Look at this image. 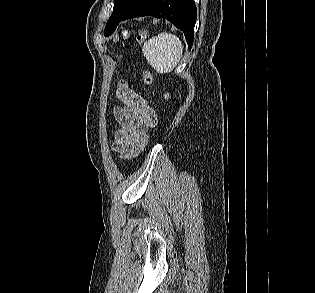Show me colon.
I'll list each match as a JSON object with an SVG mask.
<instances>
[{
    "mask_svg": "<svg viewBox=\"0 0 315 293\" xmlns=\"http://www.w3.org/2000/svg\"><path fill=\"white\" fill-rule=\"evenodd\" d=\"M124 35L126 37L130 35L136 36L139 43H146L147 41L146 33L142 30L131 31L127 29L124 31ZM142 77H143V82L146 86H150L152 84L153 76L148 69H144ZM117 83L118 85H121L115 90L118 94H129L131 92V89H132L131 86L129 84L127 85V83H131V80H127V78H118ZM147 140H148V136H146L144 140L140 143L136 154L141 152V150L145 147Z\"/></svg>",
    "mask_w": 315,
    "mask_h": 293,
    "instance_id": "obj_1",
    "label": "colon"
}]
</instances>
